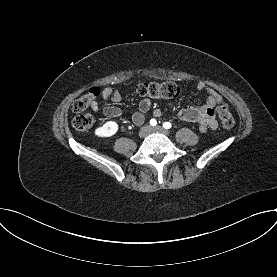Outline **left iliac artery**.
Here are the masks:
<instances>
[{
  "label": "left iliac artery",
  "instance_id": "44dca946",
  "mask_svg": "<svg viewBox=\"0 0 277 277\" xmlns=\"http://www.w3.org/2000/svg\"><path fill=\"white\" fill-rule=\"evenodd\" d=\"M163 127H164L165 129H170V128H171V123L165 122V123L163 124Z\"/></svg>",
  "mask_w": 277,
  "mask_h": 277
}]
</instances>
